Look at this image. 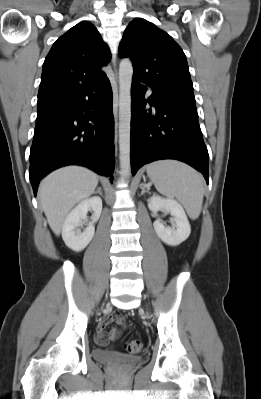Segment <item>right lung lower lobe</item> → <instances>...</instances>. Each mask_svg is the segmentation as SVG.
<instances>
[{"label":"right lung lower lobe","mask_w":261,"mask_h":399,"mask_svg":"<svg viewBox=\"0 0 261 399\" xmlns=\"http://www.w3.org/2000/svg\"><path fill=\"white\" fill-rule=\"evenodd\" d=\"M113 139L112 90L107 76L38 101L29 168L34 195L43 177L65 165H82L111 176Z\"/></svg>","instance_id":"1"}]
</instances>
